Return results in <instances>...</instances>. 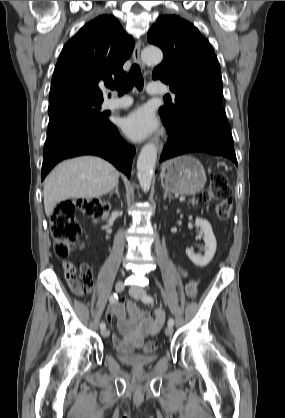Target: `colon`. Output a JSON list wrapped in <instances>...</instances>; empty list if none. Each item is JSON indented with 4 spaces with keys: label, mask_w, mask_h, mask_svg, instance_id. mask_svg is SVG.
Wrapping results in <instances>:
<instances>
[{
    "label": "colon",
    "mask_w": 285,
    "mask_h": 418,
    "mask_svg": "<svg viewBox=\"0 0 285 418\" xmlns=\"http://www.w3.org/2000/svg\"><path fill=\"white\" fill-rule=\"evenodd\" d=\"M202 202H215V212L218 218L226 219L232 210V193L228 186L226 177L217 173L207 189L199 195ZM106 206L99 201L73 199L63 201L57 205L51 216V235L54 242V253L58 258H67L76 248V243L81 233V227L75 220L78 213L86 217L103 218L106 213ZM88 289L81 283H77L75 293L83 296ZM157 345L154 341L145 342L143 349L146 353L154 352Z\"/></svg>",
    "instance_id": "5ec220e1"
}]
</instances>
